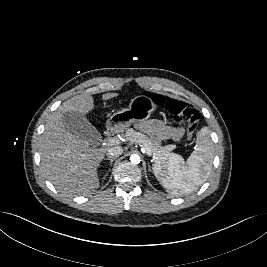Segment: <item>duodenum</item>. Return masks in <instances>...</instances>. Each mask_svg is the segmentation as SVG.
Instances as JSON below:
<instances>
[{
    "label": "duodenum",
    "instance_id": "1",
    "mask_svg": "<svg viewBox=\"0 0 267 267\" xmlns=\"http://www.w3.org/2000/svg\"><path fill=\"white\" fill-rule=\"evenodd\" d=\"M112 133H113V128H112V127L107 128L105 134H106L107 136H109V135H111Z\"/></svg>",
    "mask_w": 267,
    "mask_h": 267
}]
</instances>
